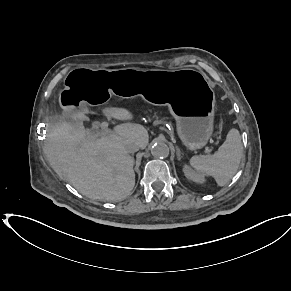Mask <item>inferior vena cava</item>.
Returning a JSON list of instances; mask_svg holds the SVG:
<instances>
[{"label": "inferior vena cava", "mask_w": 291, "mask_h": 291, "mask_svg": "<svg viewBox=\"0 0 291 291\" xmlns=\"http://www.w3.org/2000/svg\"><path fill=\"white\" fill-rule=\"evenodd\" d=\"M139 145L136 143H129L128 145H126V151L128 153H134L137 152L139 150Z\"/></svg>", "instance_id": "602c4592"}]
</instances>
